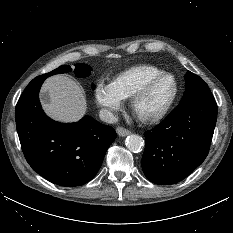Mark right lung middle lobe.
<instances>
[{"label":"right lung middle lobe","instance_id":"right-lung-middle-lobe-1","mask_svg":"<svg viewBox=\"0 0 233 233\" xmlns=\"http://www.w3.org/2000/svg\"><path fill=\"white\" fill-rule=\"evenodd\" d=\"M92 68L89 65L86 64H75V69L74 73L76 77L78 78H85L88 77L91 74ZM72 68L70 66H60L59 68H56L55 70L45 74V76L49 77L54 74H59V73H66V72H71Z\"/></svg>","mask_w":233,"mask_h":233}]
</instances>
